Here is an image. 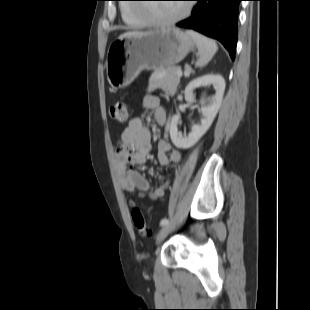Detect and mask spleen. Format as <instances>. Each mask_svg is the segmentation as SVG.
Masks as SVG:
<instances>
[{
	"label": "spleen",
	"mask_w": 310,
	"mask_h": 310,
	"mask_svg": "<svg viewBox=\"0 0 310 310\" xmlns=\"http://www.w3.org/2000/svg\"><path fill=\"white\" fill-rule=\"evenodd\" d=\"M187 34L194 40L198 48L199 59L196 62V66H205L217 52L218 47L216 42L192 30H188Z\"/></svg>",
	"instance_id": "1"
}]
</instances>
